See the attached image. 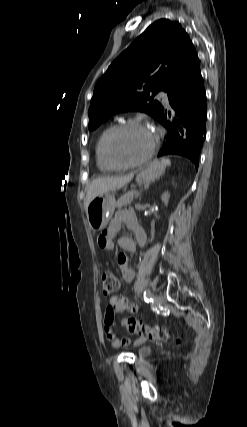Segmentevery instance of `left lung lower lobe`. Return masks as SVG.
I'll list each match as a JSON object with an SVG mask.
<instances>
[{"instance_id":"0a47b994","label":"left lung lower lobe","mask_w":247,"mask_h":427,"mask_svg":"<svg viewBox=\"0 0 247 427\" xmlns=\"http://www.w3.org/2000/svg\"><path fill=\"white\" fill-rule=\"evenodd\" d=\"M167 95L172 112L163 108L157 119L167 129L166 142L158 156L182 155L188 157L197 169L206 137L207 119L206 92L199 62L187 77L167 92ZM167 115L170 119H167Z\"/></svg>"}]
</instances>
